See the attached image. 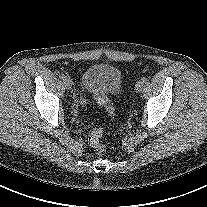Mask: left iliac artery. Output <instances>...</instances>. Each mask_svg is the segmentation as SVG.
<instances>
[{
	"instance_id": "left-iliac-artery-1",
	"label": "left iliac artery",
	"mask_w": 207,
	"mask_h": 207,
	"mask_svg": "<svg viewBox=\"0 0 207 207\" xmlns=\"http://www.w3.org/2000/svg\"><path fill=\"white\" fill-rule=\"evenodd\" d=\"M141 81H142L143 83H145V82L147 81V78H146V77H142V78H141Z\"/></svg>"
}]
</instances>
